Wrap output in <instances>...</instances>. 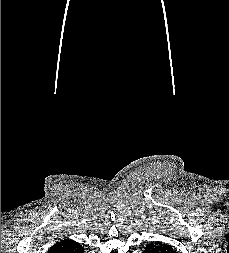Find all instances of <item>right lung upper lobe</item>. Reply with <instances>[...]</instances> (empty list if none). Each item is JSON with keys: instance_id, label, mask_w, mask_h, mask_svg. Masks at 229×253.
Instances as JSON below:
<instances>
[{"instance_id": "right-lung-upper-lobe-1", "label": "right lung upper lobe", "mask_w": 229, "mask_h": 253, "mask_svg": "<svg viewBox=\"0 0 229 253\" xmlns=\"http://www.w3.org/2000/svg\"><path fill=\"white\" fill-rule=\"evenodd\" d=\"M70 240H61L60 242H58L57 244H55V245H59V244H63V243H67V242H69Z\"/></svg>"}]
</instances>
